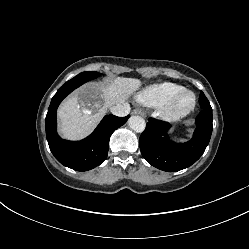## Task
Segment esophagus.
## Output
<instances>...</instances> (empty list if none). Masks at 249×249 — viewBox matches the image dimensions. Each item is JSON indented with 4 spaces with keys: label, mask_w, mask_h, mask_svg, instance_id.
<instances>
[{
    "label": "esophagus",
    "mask_w": 249,
    "mask_h": 249,
    "mask_svg": "<svg viewBox=\"0 0 249 249\" xmlns=\"http://www.w3.org/2000/svg\"><path fill=\"white\" fill-rule=\"evenodd\" d=\"M133 114L140 115V116H142V117L145 116L144 111L141 110V109H135V110H133Z\"/></svg>",
    "instance_id": "34e87169"
}]
</instances>
